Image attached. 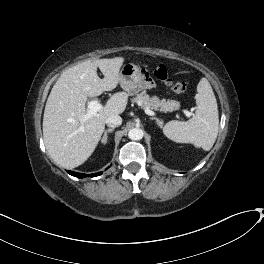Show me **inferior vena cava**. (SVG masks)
Masks as SVG:
<instances>
[{"mask_svg":"<svg viewBox=\"0 0 264 264\" xmlns=\"http://www.w3.org/2000/svg\"><path fill=\"white\" fill-rule=\"evenodd\" d=\"M105 123L107 126L114 128L122 124V118L119 115H112L106 119Z\"/></svg>","mask_w":264,"mask_h":264,"instance_id":"obj_1","label":"inferior vena cava"}]
</instances>
